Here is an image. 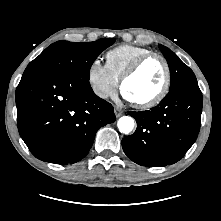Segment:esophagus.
Instances as JSON below:
<instances>
[{
  "instance_id": "esophagus-1",
  "label": "esophagus",
  "mask_w": 221,
  "mask_h": 221,
  "mask_svg": "<svg viewBox=\"0 0 221 221\" xmlns=\"http://www.w3.org/2000/svg\"><path fill=\"white\" fill-rule=\"evenodd\" d=\"M114 113H115L116 117H120L123 115L124 111L119 107H115Z\"/></svg>"
}]
</instances>
